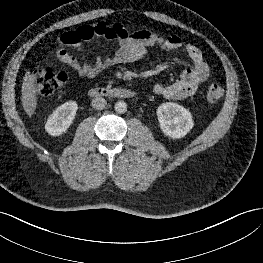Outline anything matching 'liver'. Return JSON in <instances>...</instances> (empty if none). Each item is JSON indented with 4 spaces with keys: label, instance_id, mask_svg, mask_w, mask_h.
I'll use <instances>...</instances> for the list:
<instances>
[{
    "label": "liver",
    "instance_id": "1",
    "mask_svg": "<svg viewBox=\"0 0 263 263\" xmlns=\"http://www.w3.org/2000/svg\"><path fill=\"white\" fill-rule=\"evenodd\" d=\"M35 76L30 71H26L22 81V106L26 114L31 117L37 107V97L35 89Z\"/></svg>",
    "mask_w": 263,
    "mask_h": 263
}]
</instances>
